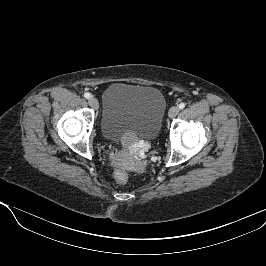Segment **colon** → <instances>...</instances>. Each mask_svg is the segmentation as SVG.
Segmentation results:
<instances>
[{
	"label": "colon",
	"mask_w": 266,
	"mask_h": 266,
	"mask_svg": "<svg viewBox=\"0 0 266 266\" xmlns=\"http://www.w3.org/2000/svg\"><path fill=\"white\" fill-rule=\"evenodd\" d=\"M114 178L117 183L124 185L128 182L129 175L125 169L118 168L114 172Z\"/></svg>",
	"instance_id": "5ec220e1"
}]
</instances>
